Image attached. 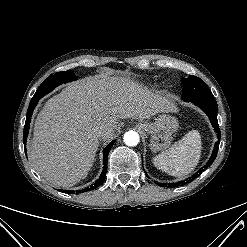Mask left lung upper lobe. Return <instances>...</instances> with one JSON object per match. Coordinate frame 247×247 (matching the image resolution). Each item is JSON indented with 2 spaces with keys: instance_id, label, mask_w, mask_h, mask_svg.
<instances>
[{
  "instance_id": "1",
  "label": "left lung upper lobe",
  "mask_w": 247,
  "mask_h": 247,
  "mask_svg": "<svg viewBox=\"0 0 247 247\" xmlns=\"http://www.w3.org/2000/svg\"><path fill=\"white\" fill-rule=\"evenodd\" d=\"M182 85V99L185 101L214 97L205 82L196 76L190 75L188 78L182 79Z\"/></svg>"
}]
</instances>
